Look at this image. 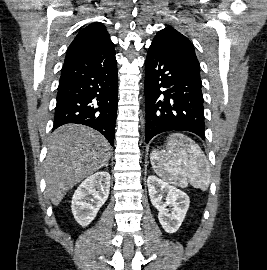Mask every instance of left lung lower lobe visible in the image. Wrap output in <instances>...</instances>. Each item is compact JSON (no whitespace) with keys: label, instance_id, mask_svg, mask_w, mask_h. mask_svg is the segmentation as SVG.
Here are the masks:
<instances>
[{"label":"left lung lower lobe","instance_id":"left-lung-lower-lobe-1","mask_svg":"<svg viewBox=\"0 0 267 270\" xmlns=\"http://www.w3.org/2000/svg\"><path fill=\"white\" fill-rule=\"evenodd\" d=\"M200 74L151 45L145 61L148 143L167 131H189L205 137Z\"/></svg>","mask_w":267,"mask_h":270}]
</instances>
